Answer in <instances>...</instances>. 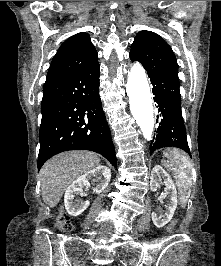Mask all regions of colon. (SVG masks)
Listing matches in <instances>:
<instances>
[{
  "mask_svg": "<svg viewBox=\"0 0 221 266\" xmlns=\"http://www.w3.org/2000/svg\"><path fill=\"white\" fill-rule=\"evenodd\" d=\"M176 224L177 220L172 221L170 224V229H173L176 226ZM57 226L60 230L64 232H69L72 229L70 219L65 215H61L58 217Z\"/></svg>",
  "mask_w": 221,
  "mask_h": 266,
  "instance_id": "5ec220e1",
  "label": "colon"
}]
</instances>
